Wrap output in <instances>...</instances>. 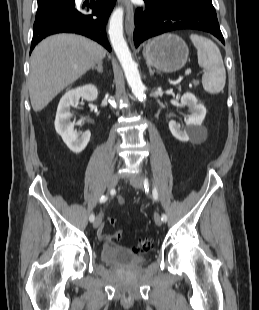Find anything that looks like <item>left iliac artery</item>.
Returning a JSON list of instances; mask_svg holds the SVG:
<instances>
[{
	"mask_svg": "<svg viewBox=\"0 0 259 310\" xmlns=\"http://www.w3.org/2000/svg\"><path fill=\"white\" fill-rule=\"evenodd\" d=\"M144 186H145V188H147V187L149 186L148 179H145V180H144ZM152 195H153V198H154L155 200L158 199V192H157V189H156L155 187H154L153 190H152ZM161 220H162L163 222H166V221H167V216H166L165 214H162Z\"/></svg>",
	"mask_w": 259,
	"mask_h": 310,
	"instance_id": "44dca946",
	"label": "left iliac artery"
}]
</instances>
